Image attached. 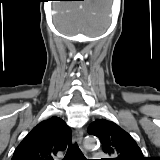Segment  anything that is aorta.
Wrapping results in <instances>:
<instances>
[{
  "label": "aorta",
  "instance_id": "1",
  "mask_svg": "<svg viewBox=\"0 0 160 160\" xmlns=\"http://www.w3.org/2000/svg\"><path fill=\"white\" fill-rule=\"evenodd\" d=\"M84 146L87 149H92L98 146V140L94 137H88L84 141Z\"/></svg>",
  "mask_w": 160,
  "mask_h": 160
}]
</instances>
